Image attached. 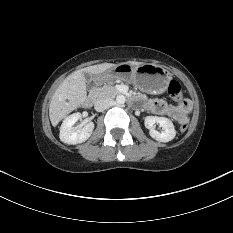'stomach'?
Returning <instances> with one entry per match:
<instances>
[{
	"mask_svg": "<svg viewBox=\"0 0 233 233\" xmlns=\"http://www.w3.org/2000/svg\"><path fill=\"white\" fill-rule=\"evenodd\" d=\"M171 79V73L156 64L143 63L134 66L129 63H121L96 74L94 83L100 85L114 80H123L134 83L145 92L161 94L165 92Z\"/></svg>",
	"mask_w": 233,
	"mask_h": 233,
	"instance_id": "stomach-1",
	"label": "stomach"
}]
</instances>
